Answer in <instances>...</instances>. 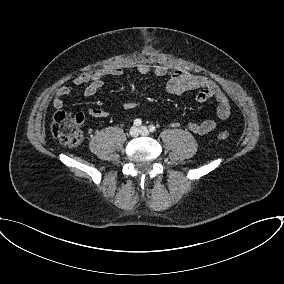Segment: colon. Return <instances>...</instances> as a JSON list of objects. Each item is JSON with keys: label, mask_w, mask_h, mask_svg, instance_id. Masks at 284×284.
I'll return each mask as SVG.
<instances>
[{"label": "colon", "mask_w": 284, "mask_h": 284, "mask_svg": "<svg viewBox=\"0 0 284 284\" xmlns=\"http://www.w3.org/2000/svg\"><path fill=\"white\" fill-rule=\"evenodd\" d=\"M81 122L82 117L80 115H70L64 111H58L53 116L51 132L61 143L76 146L83 140V133L80 130ZM218 137L225 140L229 137V133L221 131Z\"/></svg>", "instance_id": "5ec220e1"}]
</instances>
